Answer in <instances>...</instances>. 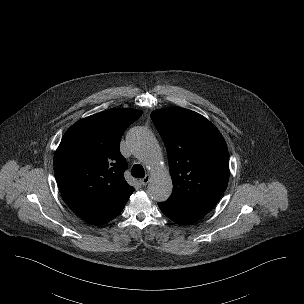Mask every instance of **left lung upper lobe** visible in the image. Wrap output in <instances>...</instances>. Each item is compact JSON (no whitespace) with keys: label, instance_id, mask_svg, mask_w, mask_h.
<instances>
[{"label":"left lung upper lobe","instance_id":"1","mask_svg":"<svg viewBox=\"0 0 304 304\" xmlns=\"http://www.w3.org/2000/svg\"><path fill=\"white\" fill-rule=\"evenodd\" d=\"M151 118L168 153L173 192L169 199L204 213L220 200L229 180V155L218 129L181 107L159 109Z\"/></svg>","mask_w":304,"mask_h":304}]
</instances>
